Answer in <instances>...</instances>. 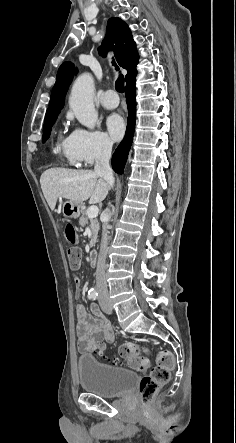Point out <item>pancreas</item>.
<instances>
[{"mask_svg": "<svg viewBox=\"0 0 236 443\" xmlns=\"http://www.w3.org/2000/svg\"><path fill=\"white\" fill-rule=\"evenodd\" d=\"M79 224L84 227L87 224H90L92 238L90 240V247H93L97 241V235L99 232V222L96 218L90 219L88 217V210L82 211V216L79 219Z\"/></svg>", "mask_w": 236, "mask_h": 443, "instance_id": "pancreas-1", "label": "pancreas"}]
</instances>
